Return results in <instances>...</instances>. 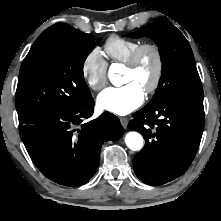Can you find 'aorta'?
Masks as SVG:
<instances>
[{
  "instance_id": "obj_1",
  "label": "aorta",
  "mask_w": 221,
  "mask_h": 221,
  "mask_svg": "<svg viewBox=\"0 0 221 221\" xmlns=\"http://www.w3.org/2000/svg\"><path fill=\"white\" fill-rule=\"evenodd\" d=\"M119 72V65L118 64H112L109 68V79L113 85H118L120 80ZM125 143L127 147L133 151H139L142 149L144 140L140 133L131 131L128 132L125 136Z\"/></svg>"
}]
</instances>
